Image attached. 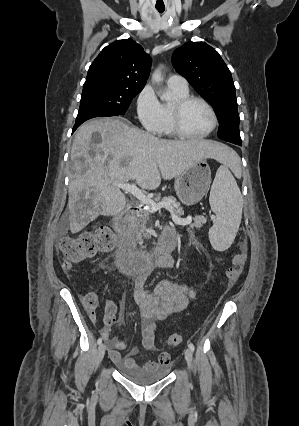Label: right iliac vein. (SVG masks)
<instances>
[{"instance_id": "1", "label": "right iliac vein", "mask_w": 299, "mask_h": 426, "mask_svg": "<svg viewBox=\"0 0 299 426\" xmlns=\"http://www.w3.org/2000/svg\"><path fill=\"white\" fill-rule=\"evenodd\" d=\"M106 346L105 344H100L98 347V360L99 362L102 361L104 355H105Z\"/></svg>"}]
</instances>
